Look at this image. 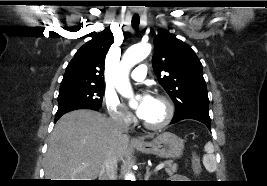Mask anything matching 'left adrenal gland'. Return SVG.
Masks as SVG:
<instances>
[{
	"mask_svg": "<svg viewBox=\"0 0 267 186\" xmlns=\"http://www.w3.org/2000/svg\"><path fill=\"white\" fill-rule=\"evenodd\" d=\"M154 173L152 171H150V168L147 166L146 167V174H145V181H149V178L151 177V175H153ZM156 174V173H155Z\"/></svg>",
	"mask_w": 267,
	"mask_h": 186,
	"instance_id": "1",
	"label": "left adrenal gland"
}]
</instances>
